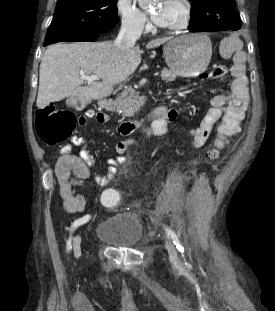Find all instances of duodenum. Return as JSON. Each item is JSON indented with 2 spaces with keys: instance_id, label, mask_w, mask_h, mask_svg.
<instances>
[{
  "instance_id": "obj_1",
  "label": "duodenum",
  "mask_w": 275,
  "mask_h": 311,
  "mask_svg": "<svg viewBox=\"0 0 275 311\" xmlns=\"http://www.w3.org/2000/svg\"><path fill=\"white\" fill-rule=\"evenodd\" d=\"M100 104L107 108H113L114 103L112 98H101L99 100ZM154 110H164L163 106L156 107ZM142 125V122L139 120L134 121H124L119 124L118 130L121 134L127 135L139 128Z\"/></svg>"
}]
</instances>
